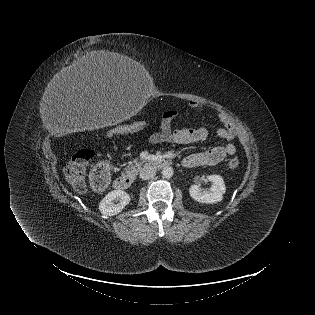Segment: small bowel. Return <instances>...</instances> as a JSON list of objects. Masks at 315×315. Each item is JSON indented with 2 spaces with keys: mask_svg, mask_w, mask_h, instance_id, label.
I'll list each match as a JSON object with an SVG mask.
<instances>
[{
  "mask_svg": "<svg viewBox=\"0 0 315 315\" xmlns=\"http://www.w3.org/2000/svg\"><path fill=\"white\" fill-rule=\"evenodd\" d=\"M189 106L194 109L201 107L197 101H190ZM217 117L224 125L217 130V135L226 141L225 145L214 146L204 151H199L186 156L182 164L187 168L202 166H213L224 160L228 155L236 152V147L232 143L236 136V130L232 125L229 117L222 111L216 112ZM179 116L177 110H170L163 114L159 126L148 137L149 142L154 144L175 143V144H192L204 141L208 137V130L200 128H179L173 129L172 122Z\"/></svg>",
  "mask_w": 315,
  "mask_h": 315,
  "instance_id": "c3829d8e",
  "label": "small bowel"
}]
</instances>
